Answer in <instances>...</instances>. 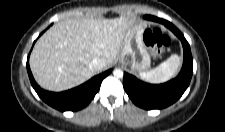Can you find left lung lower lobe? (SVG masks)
Returning a JSON list of instances; mask_svg holds the SVG:
<instances>
[{
  "label": "left lung lower lobe",
  "instance_id": "obj_1",
  "mask_svg": "<svg viewBox=\"0 0 225 132\" xmlns=\"http://www.w3.org/2000/svg\"><path fill=\"white\" fill-rule=\"evenodd\" d=\"M144 18L164 24L181 40L184 50L183 66L175 79L159 85L142 82L133 75L124 73L123 86L137 106L147 110L162 109L176 102L189 86L193 73V60L189 43L172 23L150 15Z\"/></svg>",
  "mask_w": 225,
  "mask_h": 132
}]
</instances>
